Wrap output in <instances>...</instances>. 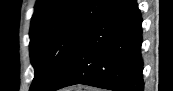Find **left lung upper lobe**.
I'll use <instances>...</instances> for the list:
<instances>
[{"label": "left lung upper lobe", "instance_id": "obj_1", "mask_svg": "<svg viewBox=\"0 0 173 91\" xmlns=\"http://www.w3.org/2000/svg\"><path fill=\"white\" fill-rule=\"evenodd\" d=\"M113 0H37L30 27L35 75L30 91H48L71 64L87 33Z\"/></svg>", "mask_w": 173, "mask_h": 91}]
</instances>
